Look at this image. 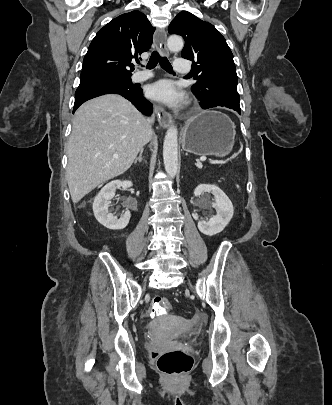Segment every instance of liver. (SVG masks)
<instances>
[{"mask_svg":"<svg viewBox=\"0 0 332 405\" xmlns=\"http://www.w3.org/2000/svg\"><path fill=\"white\" fill-rule=\"evenodd\" d=\"M151 138L146 119L119 95L82 104L67 143L66 180L72 201L79 202L98 185L127 171Z\"/></svg>","mask_w":332,"mask_h":405,"instance_id":"liver-1","label":"liver"}]
</instances>
